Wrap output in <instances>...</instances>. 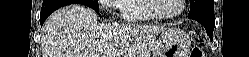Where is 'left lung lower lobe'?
<instances>
[{"mask_svg":"<svg viewBox=\"0 0 249 57\" xmlns=\"http://www.w3.org/2000/svg\"><path fill=\"white\" fill-rule=\"evenodd\" d=\"M189 18L200 22L205 27L208 36L212 40L213 30L215 27L214 12H205V13L190 15Z\"/></svg>","mask_w":249,"mask_h":57,"instance_id":"1","label":"left lung lower lobe"}]
</instances>
